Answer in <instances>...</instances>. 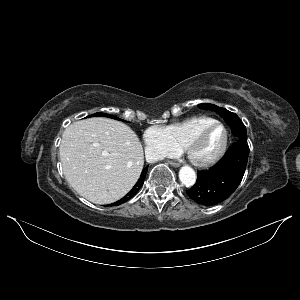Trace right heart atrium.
<instances>
[{
	"instance_id": "d8ad5b80",
	"label": "right heart atrium",
	"mask_w": 300,
	"mask_h": 300,
	"mask_svg": "<svg viewBox=\"0 0 300 300\" xmlns=\"http://www.w3.org/2000/svg\"><path fill=\"white\" fill-rule=\"evenodd\" d=\"M143 140L146 156L151 161L174 157L179 152L159 126H152L146 129L143 134Z\"/></svg>"
}]
</instances>
